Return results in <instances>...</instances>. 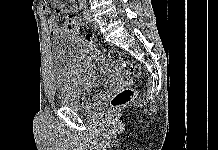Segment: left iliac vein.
Wrapping results in <instances>:
<instances>
[{"label":"left iliac vein","instance_id":"left-iliac-vein-1","mask_svg":"<svg viewBox=\"0 0 218 150\" xmlns=\"http://www.w3.org/2000/svg\"><path fill=\"white\" fill-rule=\"evenodd\" d=\"M84 14L86 15L84 18H85V20H86L87 22H90V23L96 25V21H95L93 15H92V13H91V11H90L89 9H86V10L84 11Z\"/></svg>","mask_w":218,"mask_h":150}]
</instances>
